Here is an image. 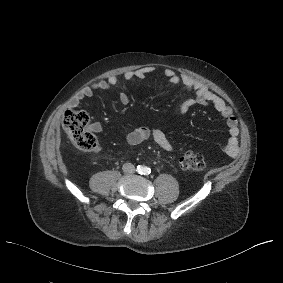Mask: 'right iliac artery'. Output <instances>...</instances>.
Masks as SVG:
<instances>
[{
    "instance_id": "82829eb1",
    "label": "right iliac artery",
    "mask_w": 283,
    "mask_h": 283,
    "mask_svg": "<svg viewBox=\"0 0 283 283\" xmlns=\"http://www.w3.org/2000/svg\"><path fill=\"white\" fill-rule=\"evenodd\" d=\"M139 172L143 171V168L137 167Z\"/></svg>"
}]
</instances>
